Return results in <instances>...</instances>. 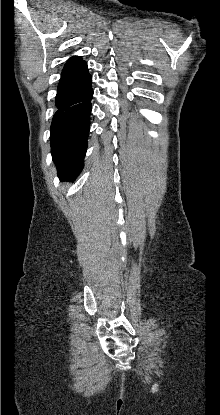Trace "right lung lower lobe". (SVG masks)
Listing matches in <instances>:
<instances>
[{
	"instance_id": "98d812e1",
	"label": "right lung lower lobe",
	"mask_w": 220,
	"mask_h": 415,
	"mask_svg": "<svg viewBox=\"0 0 220 415\" xmlns=\"http://www.w3.org/2000/svg\"><path fill=\"white\" fill-rule=\"evenodd\" d=\"M92 97V77L86 62L64 68L50 133L52 158L60 180H75L83 168Z\"/></svg>"
}]
</instances>
